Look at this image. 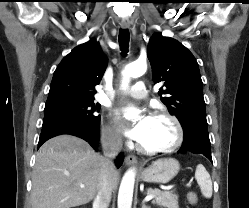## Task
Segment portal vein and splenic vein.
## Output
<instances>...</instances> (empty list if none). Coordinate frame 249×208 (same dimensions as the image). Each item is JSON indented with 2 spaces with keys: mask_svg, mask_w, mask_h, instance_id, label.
Instances as JSON below:
<instances>
[{
  "mask_svg": "<svg viewBox=\"0 0 249 208\" xmlns=\"http://www.w3.org/2000/svg\"><path fill=\"white\" fill-rule=\"evenodd\" d=\"M80 187L81 188H83L84 187V185H80ZM154 198V196L153 195H147L146 197H145V201H150V200H152Z\"/></svg>",
  "mask_w": 249,
  "mask_h": 208,
  "instance_id": "1",
  "label": "portal vein and splenic vein"
}]
</instances>
